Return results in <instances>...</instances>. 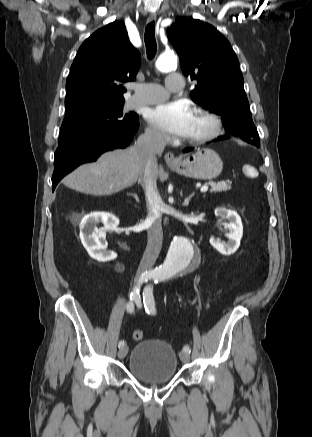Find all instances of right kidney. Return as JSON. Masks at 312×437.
<instances>
[{"label": "right kidney", "mask_w": 312, "mask_h": 437, "mask_svg": "<svg viewBox=\"0 0 312 437\" xmlns=\"http://www.w3.org/2000/svg\"><path fill=\"white\" fill-rule=\"evenodd\" d=\"M99 223H103L104 228H97ZM118 225V218L111 213L93 212L84 216L80 223V239L93 259L99 262L114 259V255L106 250L105 228L114 229Z\"/></svg>", "instance_id": "obj_1"}]
</instances>
